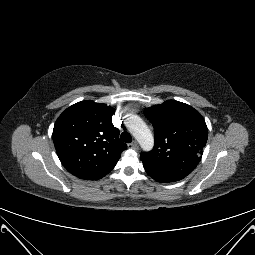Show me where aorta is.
Listing matches in <instances>:
<instances>
[{
  "instance_id": "aorta-1",
  "label": "aorta",
  "mask_w": 255,
  "mask_h": 255,
  "mask_svg": "<svg viewBox=\"0 0 255 255\" xmlns=\"http://www.w3.org/2000/svg\"><path fill=\"white\" fill-rule=\"evenodd\" d=\"M126 123L141 148L145 151L151 150L154 146V138L145 122L139 116L129 114L126 118Z\"/></svg>"
}]
</instances>
